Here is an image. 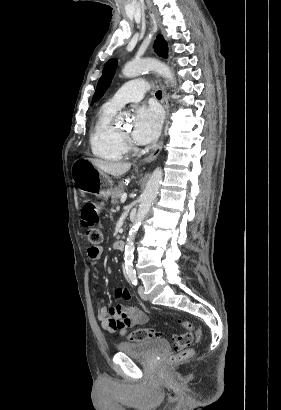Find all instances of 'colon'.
Listing matches in <instances>:
<instances>
[{
  "mask_svg": "<svg viewBox=\"0 0 281 410\" xmlns=\"http://www.w3.org/2000/svg\"><path fill=\"white\" fill-rule=\"evenodd\" d=\"M82 224L87 228L86 235L88 241L97 246L102 242V233L97 227L98 224V207L95 202H87L82 209ZM180 325L185 332L173 339V345L178 350L170 357L172 364L179 363L191 355L189 346L192 344L194 337L202 339L203 330L200 326L194 325L189 321H180ZM160 333L152 328L135 329L129 334V340L139 342L150 338H158Z\"/></svg>",
  "mask_w": 281,
  "mask_h": 410,
  "instance_id": "5ec220e1",
  "label": "colon"
}]
</instances>
